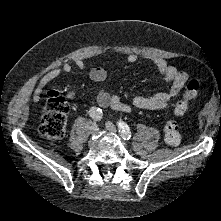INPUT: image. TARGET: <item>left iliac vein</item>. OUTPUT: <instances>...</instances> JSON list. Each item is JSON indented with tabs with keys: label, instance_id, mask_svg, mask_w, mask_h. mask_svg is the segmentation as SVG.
Returning a JSON list of instances; mask_svg holds the SVG:
<instances>
[{
	"label": "left iliac vein",
	"instance_id": "left-iliac-vein-1",
	"mask_svg": "<svg viewBox=\"0 0 221 221\" xmlns=\"http://www.w3.org/2000/svg\"><path fill=\"white\" fill-rule=\"evenodd\" d=\"M105 126H106V128H107L109 131L114 132V133L117 132V129H116V127H115V125H114L113 123L107 121L106 124H105Z\"/></svg>",
	"mask_w": 221,
	"mask_h": 221
}]
</instances>
